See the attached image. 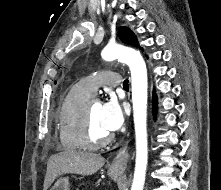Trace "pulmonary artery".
<instances>
[{
    "label": "pulmonary artery",
    "instance_id": "pulmonary-artery-1",
    "mask_svg": "<svg viewBox=\"0 0 221 190\" xmlns=\"http://www.w3.org/2000/svg\"><path fill=\"white\" fill-rule=\"evenodd\" d=\"M123 84L122 76L110 70H102L80 81V85L91 95H94L99 86H119Z\"/></svg>",
    "mask_w": 221,
    "mask_h": 190
}]
</instances>
